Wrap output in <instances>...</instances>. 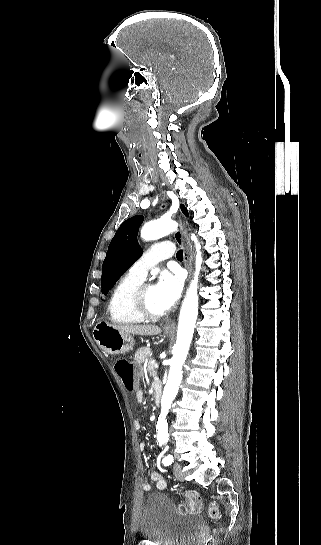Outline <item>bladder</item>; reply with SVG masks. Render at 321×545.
I'll use <instances>...</instances> for the list:
<instances>
[{"label": "bladder", "mask_w": 321, "mask_h": 545, "mask_svg": "<svg viewBox=\"0 0 321 545\" xmlns=\"http://www.w3.org/2000/svg\"><path fill=\"white\" fill-rule=\"evenodd\" d=\"M203 525L201 516L182 514L163 494H152L142 511L140 532L159 545H189Z\"/></svg>", "instance_id": "31cf9c89"}]
</instances>
